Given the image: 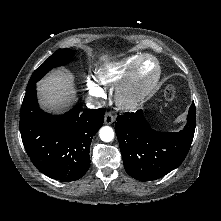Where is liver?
<instances>
[{
  "label": "liver",
  "instance_id": "liver-1",
  "mask_svg": "<svg viewBox=\"0 0 221 221\" xmlns=\"http://www.w3.org/2000/svg\"><path fill=\"white\" fill-rule=\"evenodd\" d=\"M41 107L49 111H59L75 100L73 76L69 72L55 70L38 83Z\"/></svg>",
  "mask_w": 221,
  "mask_h": 221
}]
</instances>
